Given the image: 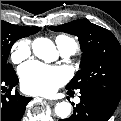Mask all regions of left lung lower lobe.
<instances>
[{
	"label": "left lung lower lobe",
	"mask_w": 121,
	"mask_h": 121,
	"mask_svg": "<svg viewBox=\"0 0 121 121\" xmlns=\"http://www.w3.org/2000/svg\"><path fill=\"white\" fill-rule=\"evenodd\" d=\"M80 94L81 101L74 107L73 114L59 121H107L119 103L95 90L83 89Z\"/></svg>",
	"instance_id": "obj_1"
}]
</instances>
